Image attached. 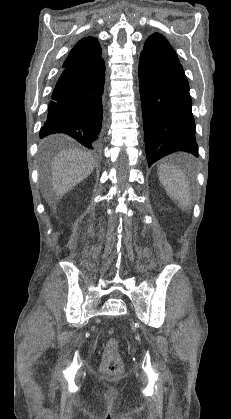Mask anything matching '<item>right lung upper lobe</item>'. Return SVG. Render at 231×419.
I'll return each instance as SVG.
<instances>
[{
    "mask_svg": "<svg viewBox=\"0 0 231 419\" xmlns=\"http://www.w3.org/2000/svg\"><path fill=\"white\" fill-rule=\"evenodd\" d=\"M101 53V48L96 38H83L73 47L63 66L98 61L101 59Z\"/></svg>",
    "mask_w": 231,
    "mask_h": 419,
    "instance_id": "cb5924a9",
    "label": "right lung upper lobe"
}]
</instances>
